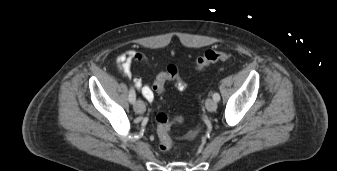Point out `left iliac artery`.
<instances>
[{"label":"left iliac artery","instance_id":"obj_1","mask_svg":"<svg viewBox=\"0 0 337 171\" xmlns=\"http://www.w3.org/2000/svg\"><path fill=\"white\" fill-rule=\"evenodd\" d=\"M213 99H214L216 102H218V101L220 100V95H219L217 92H215V93L213 94Z\"/></svg>","mask_w":337,"mask_h":171}]
</instances>
